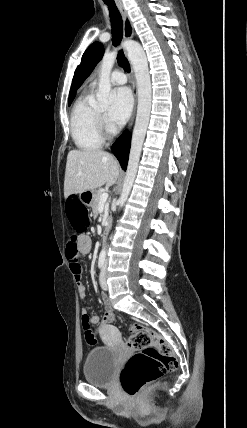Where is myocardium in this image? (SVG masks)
I'll list each match as a JSON object with an SVG mask.
<instances>
[{"label":"myocardium","mask_w":247,"mask_h":428,"mask_svg":"<svg viewBox=\"0 0 247 428\" xmlns=\"http://www.w3.org/2000/svg\"><path fill=\"white\" fill-rule=\"evenodd\" d=\"M98 118H99V121H100V124H101L103 116H102V114L100 112H98Z\"/></svg>","instance_id":"obj_1"}]
</instances>
